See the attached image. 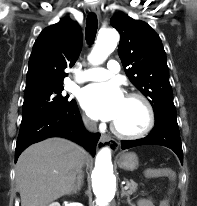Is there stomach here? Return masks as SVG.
<instances>
[{
	"mask_svg": "<svg viewBox=\"0 0 197 206\" xmlns=\"http://www.w3.org/2000/svg\"><path fill=\"white\" fill-rule=\"evenodd\" d=\"M117 164L121 169L133 171L138 167L139 161L135 153L129 152L120 154L117 159Z\"/></svg>",
	"mask_w": 197,
	"mask_h": 206,
	"instance_id": "0dacf381",
	"label": "stomach"
}]
</instances>
